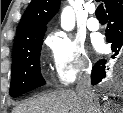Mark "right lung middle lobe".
Returning a JSON list of instances; mask_svg holds the SVG:
<instances>
[{"instance_id":"obj_1","label":"right lung middle lobe","mask_w":123,"mask_h":113,"mask_svg":"<svg viewBox=\"0 0 123 113\" xmlns=\"http://www.w3.org/2000/svg\"><path fill=\"white\" fill-rule=\"evenodd\" d=\"M43 36L24 42L13 50L10 95L18 97L45 84L40 74Z\"/></svg>"}]
</instances>
